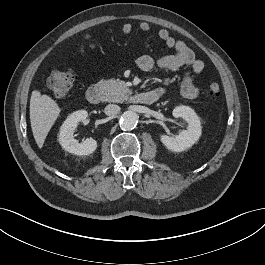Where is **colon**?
Segmentation results:
<instances>
[{
	"instance_id": "obj_1",
	"label": "colon",
	"mask_w": 265,
	"mask_h": 265,
	"mask_svg": "<svg viewBox=\"0 0 265 265\" xmlns=\"http://www.w3.org/2000/svg\"><path fill=\"white\" fill-rule=\"evenodd\" d=\"M74 83V76L69 71H53L47 79V87L54 97H66ZM210 96H218L221 93V86L217 82H212L208 86Z\"/></svg>"
}]
</instances>
